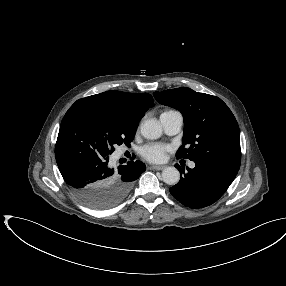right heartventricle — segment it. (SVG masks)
Listing matches in <instances>:
<instances>
[{
	"label": "right heart ventricle",
	"mask_w": 286,
	"mask_h": 286,
	"mask_svg": "<svg viewBox=\"0 0 286 286\" xmlns=\"http://www.w3.org/2000/svg\"><path fill=\"white\" fill-rule=\"evenodd\" d=\"M170 112H174V111H173V110L164 111V112L161 114V116L164 115V114H168V113H170Z\"/></svg>",
	"instance_id": "e07e8e85"
}]
</instances>
